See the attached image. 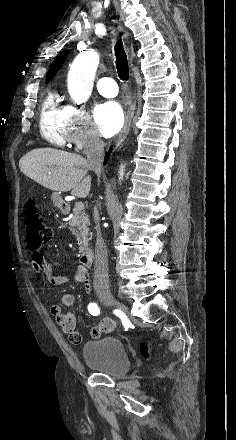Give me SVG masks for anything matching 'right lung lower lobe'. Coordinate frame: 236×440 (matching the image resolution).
Masks as SVG:
<instances>
[{
  "mask_svg": "<svg viewBox=\"0 0 236 440\" xmlns=\"http://www.w3.org/2000/svg\"><path fill=\"white\" fill-rule=\"evenodd\" d=\"M110 153H111V148L109 149V151H108V153H107V155H106L104 161H107V160H108V158H109V156H110Z\"/></svg>",
  "mask_w": 236,
  "mask_h": 440,
  "instance_id": "98d812e1",
  "label": "right lung lower lobe"
}]
</instances>
